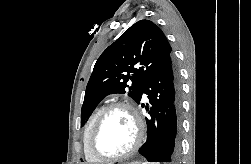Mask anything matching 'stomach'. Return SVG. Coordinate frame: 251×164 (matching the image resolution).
Here are the masks:
<instances>
[{"label":"stomach","mask_w":251,"mask_h":164,"mask_svg":"<svg viewBox=\"0 0 251 164\" xmlns=\"http://www.w3.org/2000/svg\"><path fill=\"white\" fill-rule=\"evenodd\" d=\"M130 164H143V163H139V162H134V163H130Z\"/></svg>","instance_id":"0dacf381"}]
</instances>
